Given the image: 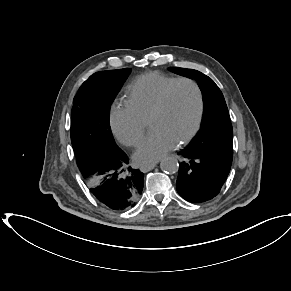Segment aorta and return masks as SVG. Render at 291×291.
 <instances>
[{
  "instance_id": "1",
  "label": "aorta",
  "mask_w": 291,
  "mask_h": 291,
  "mask_svg": "<svg viewBox=\"0 0 291 291\" xmlns=\"http://www.w3.org/2000/svg\"><path fill=\"white\" fill-rule=\"evenodd\" d=\"M160 168L167 173H176L179 169V164L176 158L170 156L162 159Z\"/></svg>"
}]
</instances>
